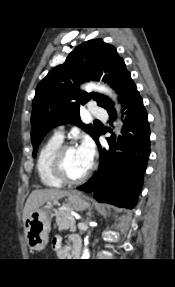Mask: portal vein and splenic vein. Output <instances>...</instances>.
Wrapping results in <instances>:
<instances>
[{
	"mask_svg": "<svg viewBox=\"0 0 175 287\" xmlns=\"http://www.w3.org/2000/svg\"><path fill=\"white\" fill-rule=\"evenodd\" d=\"M75 218H76V219H79V217H78V216H77V217H75ZM71 219H72V220H74V217H71Z\"/></svg>",
	"mask_w": 175,
	"mask_h": 287,
	"instance_id": "1",
	"label": "portal vein and splenic vein"
}]
</instances>
